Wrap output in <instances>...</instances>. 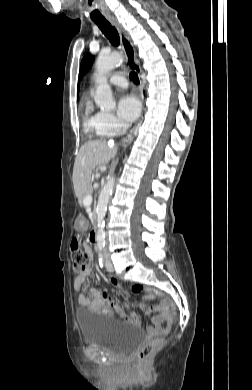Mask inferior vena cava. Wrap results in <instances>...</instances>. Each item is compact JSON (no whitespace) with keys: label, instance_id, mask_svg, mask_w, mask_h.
<instances>
[{"label":"inferior vena cava","instance_id":"obj_1","mask_svg":"<svg viewBox=\"0 0 252 390\" xmlns=\"http://www.w3.org/2000/svg\"><path fill=\"white\" fill-rule=\"evenodd\" d=\"M127 129H128V125L125 124V125L123 126V132H126Z\"/></svg>","mask_w":252,"mask_h":390}]
</instances>
